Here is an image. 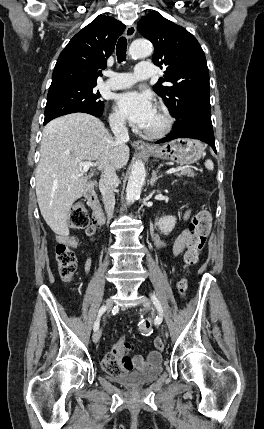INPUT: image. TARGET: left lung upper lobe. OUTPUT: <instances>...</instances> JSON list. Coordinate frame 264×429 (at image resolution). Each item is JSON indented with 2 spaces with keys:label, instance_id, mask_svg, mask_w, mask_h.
I'll use <instances>...</instances> for the list:
<instances>
[{
  "label": "left lung upper lobe",
  "instance_id": "obj_1",
  "mask_svg": "<svg viewBox=\"0 0 264 429\" xmlns=\"http://www.w3.org/2000/svg\"><path fill=\"white\" fill-rule=\"evenodd\" d=\"M137 28L154 45V64L166 69L153 89L170 114L181 121L193 108L210 107L209 71L196 38L157 11L142 17Z\"/></svg>",
  "mask_w": 264,
  "mask_h": 429
}]
</instances>
